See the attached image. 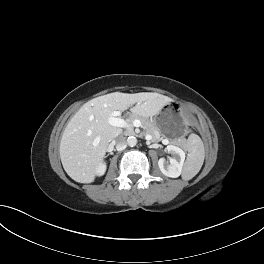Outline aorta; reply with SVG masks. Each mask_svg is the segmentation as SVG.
<instances>
[{
	"label": "aorta",
	"instance_id": "obj_1",
	"mask_svg": "<svg viewBox=\"0 0 264 264\" xmlns=\"http://www.w3.org/2000/svg\"><path fill=\"white\" fill-rule=\"evenodd\" d=\"M137 144V139L134 136H129L127 138V145L130 147H134Z\"/></svg>",
	"mask_w": 264,
	"mask_h": 264
}]
</instances>
